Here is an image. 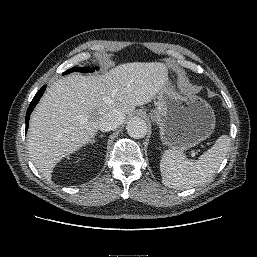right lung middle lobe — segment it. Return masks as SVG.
Wrapping results in <instances>:
<instances>
[{
  "label": "right lung middle lobe",
  "mask_w": 257,
  "mask_h": 257,
  "mask_svg": "<svg viewBox=\"0 0 257 257\" xmlns=\"http://www.w3.org/2000/svg\"><path fill=\"white\" fill-rule=\"evenodd\" d=\"M98 67H94L93 69H90L88 67H83V68H80V67H73L69 70H67L66 72H64V74H68V73H71L73 71L75 72H82V73H87V72H93L94 70H97Z\"/></svg>",
  "instance_id": "dd1d6c3e"
}]
</instances>
